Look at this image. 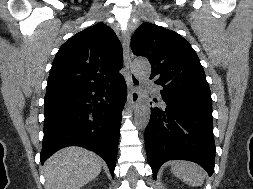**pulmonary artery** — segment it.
Listing matches in <instances>:
<instances>
[{
  "instance_id": "obj_1",
  "label": "pulmonary artery",
  "mask_w": 253,
  "mask_h": 189,
  "mask_svg": "<svg viewBox=\"0 0 253 189\" xmlns=\"http://www.w3.org/2000/svg\"><path fill=\"white\" fill-rule=\"evenodd\" d=\"M145 84H146L148 87H154V84H153L150 80H148V79L145 80Z\"/></svg>"
}]
</instances>
